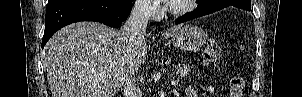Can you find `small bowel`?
Listing matches in <instances>:
<instances>
[{
  "instance_id": "1",
  "label": "small bowel",
  "mask_w": 302,
  "mask_h": 97,
  "mask_svg": "<svg viewBox=\"0 0 302 97\" xmlns=\"http://www.w3.org/2000/svg\"><path fill=\"white\" fill-rule=\"evenodd\" d=\"M187 97H195V94L192 89H189L187 92Z\"/></svg>"
}]
</instances>
